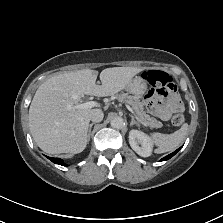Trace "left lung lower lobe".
I'll return each instance as SVG.
<instances>
[{
    "label": "left lung lower lobe",
    "mask_w": 223,
    "mask_h": 223,
    "mask_svg": "<svg viewBox=\"0 0 223 223\" xmlns=\"http://www.w3.org/2000/svg\"><path fill=\"white\" fill-rule=\"evenodd\" d=\"M179 150H180V148L177 149L176 151H174L173 153L167 155L166 157L162 158L161 161H165V160L170 159V158L173 157Z\"/></svg>",
    "instance_id": "left-lung-lower-lobe-1"
}]
</instances>
